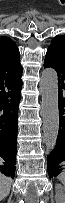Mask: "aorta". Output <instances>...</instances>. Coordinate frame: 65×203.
Segmentation results:
<instances>
[{
  "instance_id": "1",
  "label": "aorta",
  "mask_w": 65,
  "mask_h": 203,
  "mask_svg": "<svg viewBox=\"0 0 65 203\" xmlns=\"http://www.w3.org/2000/svg\"><path fill=\"white\" fill-rule=\"evenodd\" d=\"M42 95L43 142L52 151L59 131L58 75L55 69L45 68L40 79Z\"/></svg>"
}]
</instances>
